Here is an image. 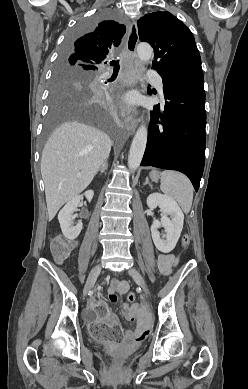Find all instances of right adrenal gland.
Here are the masks:
<instances>
[{"label": "right adrenal gland", "mask_w": 248, "mask_h": 389, "mask_svg": "<svg viewBox=\"0 0 248 389\" xmlns=\"http://www.w3.org/2000/svg\"><path fill=\"white\" fill-rule=\"evenodd\" d=\"M106 169H107V162L105 161V162L101 165V167L98 169L97 173L100 172L101 174H103V173H105Z\"/></svg>", "instance_id": "1"}]
</instances>
